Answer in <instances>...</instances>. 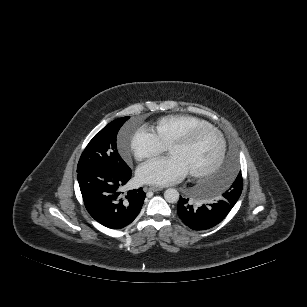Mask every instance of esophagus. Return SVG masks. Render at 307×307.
Returning a JSON list of instances; mask_svg holds the SVG:
<instances>
[{
	"label": "esophagus",
	"mask_w": 307,
	"mask_h": 307,
	"mask_svg": "<svg viewBox=\"0 0 307 307\" xmlns=\"http://www.w3.org/2000/svg\"><path fill=\"white\" fill-rule=\"evenodd\" d=\"M145 191H153V192H157V191H161L162 188L161 187H155V186H148L144 188Z\"/></svg>",
	"instance_id": "1"
}]
</instances>
